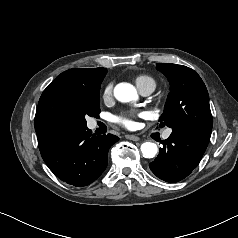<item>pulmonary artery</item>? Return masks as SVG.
<instances>
[{
  "label": "pulmonary artery",
  "mask_w": 238,
  "mask_h": 238,
  "mask_svg": "<svg viewBox=\"0 0 238 238\" xmlns=\"http://www.w3.org/2000/svg\"><path fill=\"white\" fill-rule=\"evenodd\" d=\"M153 90H154L153 88L147 87V88H145V89H142V90H141V93H142L143 95H149V94H151V93L153 92ZM170 134H171V130H167V131L164 133V135H163L164 139L169 138Z\"/></svg>",
  "instance_id": "pulmonary-artery-1"
}]
</instances>
